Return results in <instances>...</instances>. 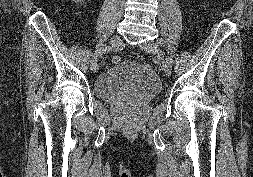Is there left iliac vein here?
<instances>
[{
    "label": "left iliac vein",
    "instance_id": "obj_1",
    "mask_svg": "<svg viewBox=\"0 0 253 177\" xmlns=\"http://www.w3.org/2000/svg\"><path fill=\"white\" fill-rule=\"evenodd\" d=\"M141 48L153 55L156 56L157 59H161V66L162 70L165 73V75L170 76L171 75V70H172V59L170 57L164 58L162 55V52L158 46V44L154 42H145L144 44L141 45ZM170 60V65H167L166 63H162V60Z\"/></svg>",
    "mask_w": 253,
    "mask_h": 177
}]
</instances>
